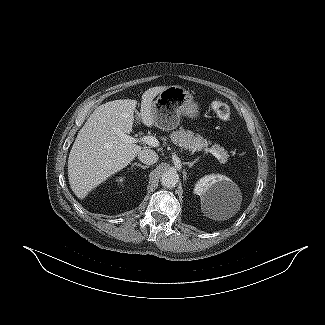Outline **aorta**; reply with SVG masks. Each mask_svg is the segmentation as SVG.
Here are the masks:
<instances>
[{
  "instance_id": "762f6f07",
  "label": "aorta",
  "mask_w": 325,
  "mask_h": 325,
  "mask_svg": "<svg viewBox=\"0 0 325 325\" xmlns=\"http://www.w3.org/2000/svg\"><path fill=\"white\" fill-rule=\"evenodd\" d=\"M160 181L164 187L172 188L175 187L176 184L178 183L179 175L174 170H168L161 175Z\"/></svg>"
}]
</instances>
